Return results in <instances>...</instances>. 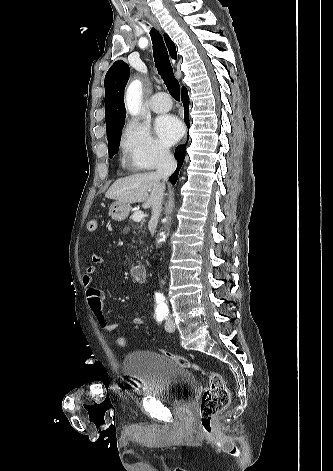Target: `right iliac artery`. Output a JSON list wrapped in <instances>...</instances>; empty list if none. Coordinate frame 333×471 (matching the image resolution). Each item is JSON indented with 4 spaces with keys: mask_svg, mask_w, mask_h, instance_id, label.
I'll use <instances>...</instances> for the list:
<instances>
[{
    "mask_svg": "<svg viewBox=\"0 0 333 471\" xmlns=\"http://www.w3.org/2000/svg\"><path fill=\"white\" fill-rule=\"evenodd\" d=\"M164 317H165V314H164V313H162V312H157V313H156V320H157L158 322H162V320L164 319Z\"/></svg>",
    "mask_w": 333,
    "mask_h": 471,
    "instance_id": "right-iliac-artery-1",
    "label": "right iliac artery"
}]
</instances>
